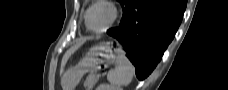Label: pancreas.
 Instances as JSON below:
<instances>
[{
	"mask_svg": "<svg viewBox=\"0 0 228 90\" xmlns=\"http://www.w3.org/2000/svg\"><path fill=\"white\" fill-rule=\"evenodd\" d=\"M99 76L91 75L87 80L84 82V86L87 88V90H91L95 83L98 81Z\"/></svg>",
	"mask_w": 228,
	"mask_h": 90,
	"instance_id": "cf45deb5",
	"label": "pancreas"
}]
</instances>
